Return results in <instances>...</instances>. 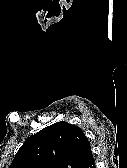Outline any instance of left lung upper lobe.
Returning <instances> with one entry per match:
<instances>
[{"label": "left lung upper lobe", "instance_id": "obj_1", "mask_svg": "<svg viewBox=\"0 0 127 168\" xmlns=\"http://www.w3.org/2000/svg\"><path fill=\"white\" fill-rule=\"evenodd\" d=\"M88 142L79 127L57 122L28 138L9 168H78Z\"/></svg>", "mask_w": 127, "mask_h": 168}]
</instances>
